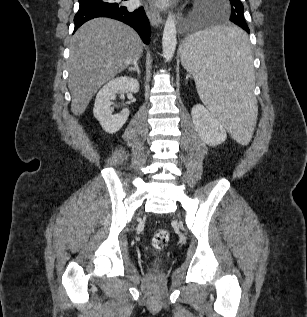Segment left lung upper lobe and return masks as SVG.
I'll list each match as a JSON object with an SVG mask.
<instances>
[{
	"instance_id": "5c2ea615",
	"label": "left lung upper lobe",
	"mask_w": 307,
	"mask_h": 317,
	"mask_svg": "<svg viewBox=\"0 0 307 317\" xmlns=\"http://www.w3.org/2000/svg\"><path fill=\"white\" fill-rule=\"evenodd\" d=\"M231 4V17L230 21L238 19L242 24H246L244 19V7L240 0H229Z\"/></svg>"
}]
</instances>
